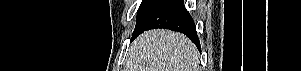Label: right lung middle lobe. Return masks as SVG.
I'll return each mask as SVG.
<instances>
[{
    "label": "right lung middle lobe",
    "instance_id": "1",
    "mask_svg": "<svg viewBox=\"0 0 301 71\" xmlns=\"http://www.w3.org/2000/svg\"><path fill=\"white\" fill-rule=\"evenodd\" d=\"M160 0H143L137 13V23L135 29L141 24L147 13L159 2Z\"/></svg>",
    "mask_w": 301,
    "mask_h": 71
}]
</instances>
